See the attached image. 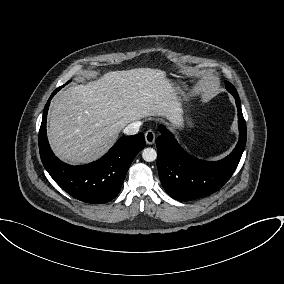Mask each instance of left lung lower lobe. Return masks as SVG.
I'll return each instance as SVG.
<instances>
[{
	"label": "left lung lower lobe",
	"instance_id": "obj_1",
	"mask_svg": "<svg viewBox=\"0 0 284 284\" xmlns=\"http://www.w3.org/2000/svg\"><path fill=\"white\" fill-rule=\"evenodd\" d=\"M238 109L239 141L235 149L219 161H203L189 155L167 129L160 126L157 138V168L165 191L179 201H190L218 191L232 176L246 145V123L239 96H234Z\"/></svg>",
	"mask_w": 284,
	"mask_h": 284
}]
</instances>
